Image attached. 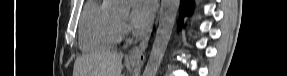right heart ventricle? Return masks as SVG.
<instances>
[{
	"mask_svg": "<svg viewBox=\"0 0 287 76\" xmlns=\"http://www.w3.org/2000/svg\"><path fill=\"white\" fill-rule=\"evenodd\" d=\"M120 38L119 19L103 1H88L80 23V47L85 51L107 50L114 47Z\"/></svg>",
	"mask_w": 287,
	"mask_h": 76,
	"instance_id": "obj_1",
	"label": "right heart ventricle"
}]
</instances>
